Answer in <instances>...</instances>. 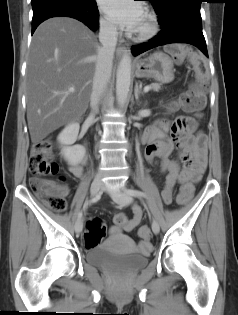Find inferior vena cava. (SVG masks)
I'll list each match as a JSON object with an SVG mask.
<instances>
[{
	"label": "inferior vena cava",
	"mask_w": 238,
	"mask_h": 315,
	"mask_svg": "<svg viewBox=\"0 0 238 315\" xmlns=\"http://www.w3.org/2000/svg\"><path fill=\"white\" fill-rule=\"evenodd\" d=\"M117 36L118 31L114 24L109 22H102L100 24L99 41L102 47L97 57L90 97L92 115L97 111L100 97L106 90L107 84L111 78ZM96 178H100V175H96Z\"/></svg>",
	"instance_id": "1"
}]
</instances>
